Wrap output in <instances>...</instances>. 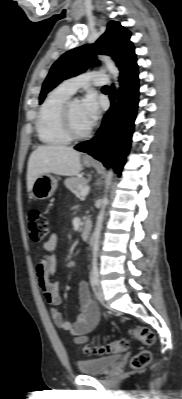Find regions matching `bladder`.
Wrapping results in <instances>:
<instances>
[{"mask_svg":"<svg viewBox=\"0 0 182 399\" xmlns=\"http://www.w3.org/2000/svg\"><path fill=\"white\" fill-rule=\"evenodd\" d=\"M119 359L120 355L80 360L77 367L84 375H101L108 372Z\"/></svg>","mask_w":182,"mask_h":399,"instance_id":"obj_1","label":"bladder"}]
</instances>
